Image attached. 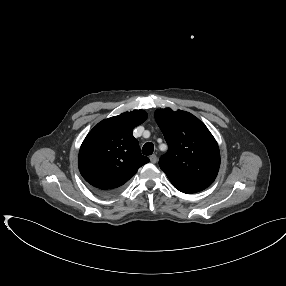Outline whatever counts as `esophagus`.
Instances as JSON below:
<instances>
[{
	"mask_svg": "<svg viewBox=\"0 0 286 286\" xmlns=\"http://www.w3.org/2000/svg\"><path fill=\"white\" fill-rule=\"evenodd\" d=\"M150 161H151L152 163H156V162H157V156H156L155 154L151 155V156H150Z\"/></svg>",
	"mask_w": 286,
	"mask_h": 286,
	"instance_id": "1",
	"label": "esophagus"
}]
</instances>
